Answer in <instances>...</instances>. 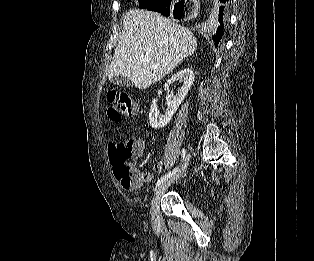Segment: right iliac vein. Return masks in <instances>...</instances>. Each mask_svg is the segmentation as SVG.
Wrapping results in <instances>:
<instances>
[{"label": "right iliac vein", "instance_id": "right-iliac-vein-1", "mask_svg": "<svg viewBox=\"0 0 314 261\" xmlns=\"http://www.w3.org/2000/svg\"><path fill=\"white\" fill-rule=\"evenodd\" d=\"M191 155L188 154L181 165L180 169L168 180L164 181L156 190L152 201H151V208H150V213H151V219L154 224H157L159 222V204H160V199L166 189H168L175 181H177L184 171L186 170L189 161H190Z\"/></svg>", "mask_w": 314, "mask_h": 261}]
</instances>
